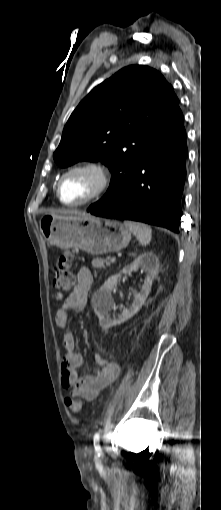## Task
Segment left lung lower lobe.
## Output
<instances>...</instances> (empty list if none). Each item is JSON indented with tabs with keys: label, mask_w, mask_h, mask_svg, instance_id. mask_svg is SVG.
Segmentation results:
<instances>
[{
	"label": "left lung lower lobe",
	"mask_w": 221,
	"mask_h": 510,
	"mask_svg": "<svg viewBox=\"0 0 221 510\" xmlns=\"http://www.w3.org/2000/svg\"><path fill=\"white\" fill-rule=\"evenodd\" d=\"M185 130L152 148L127 187L103 205H91L93 215L145 222L179 233L181 197L186 177Z\"/></svg>",
	"instance_id": "1"
}]
</instances>
